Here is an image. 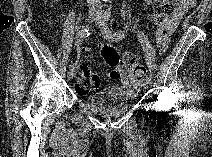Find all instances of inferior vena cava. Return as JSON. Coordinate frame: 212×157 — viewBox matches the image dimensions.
Returning <instances> with one entry per match:
<instances>
[{
	"label": "inferior vena cava",
	"mask_w": 212,
	"mask_h": 157,
	"mask_svg": "<svg viewBox=\"0 0 212 157\" xmlns=\"http://www.w3.org/2000/svg\"><path fill=\"white\" fill-rule=\"evenodd\" d=\"M87 2L91 11H100L102 8L100 0H88Z\"/></svg>",
	"instance_id": "inferior-vena-cava-1"
}]
</instances>
